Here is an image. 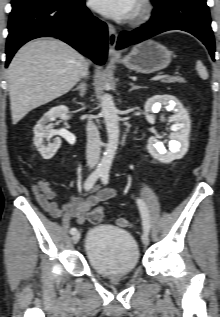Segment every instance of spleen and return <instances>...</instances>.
I'll return each mask as SVG.
<instances>
[{
	"label": "spleen",
	"instance_id": "1",
	"mask_svg": "<svg viewBox=\"0 0 220 317\" xmlns=\"http://www.w3.org/2000/svg\"><path fill=\"white\" fill-rule=\"evenodd\" d=\"M196 70L198 71L200 77L202 79H207L208 78V74L206 71L205 66L203 65V63L201 61H197L196 63Z\"/></svg>",
	"mask_w": 220,
	"mask_h": 317
}]
</instances>
